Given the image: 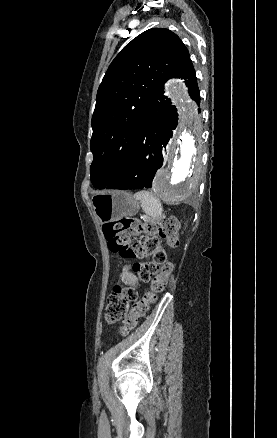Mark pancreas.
Masks as SVG:
<instances>
[{"instance_id": "cf45deb5", "label": "pancreas", "mask_w": 277, "mask_h": 438, "mask_svg": "<svg viewBox=\"0 0 277 438\" xmlns=\"http://www.w3.org/2000/svg\"><path fill=\"white\" fill-rule=\"evenodd\" d=\"M147 219H148V221H150V222H151V221L154 222V221H156L157 218H156V216H154V215H152V216L150 215V216H148Z\"/></svg>"}]
</instances>
